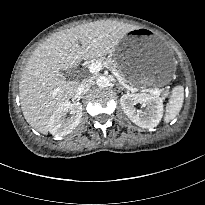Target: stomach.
Wrapping results in <instances>:
<instances>
[{"label": "stomach", "instance_id": "stomach-1", "mask_svg": "<svg viewBox=\"0 0 205 205\" xmlns=\"http://www.w3.org/2000/svg\"><path fill=\"white\" fill-rule=\"evenodd\" d=\"M118 68L137 86L161 85L175 69V59L164 40L148 28L128 32L113 51Z\"/></svg>", "mask_w": 205, "mask_h": 205}]
</instances>
